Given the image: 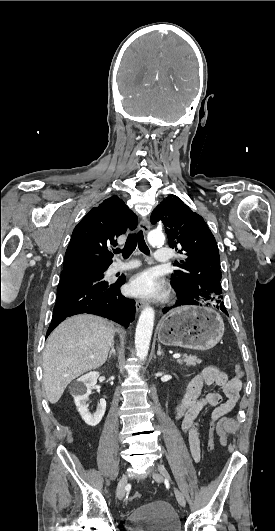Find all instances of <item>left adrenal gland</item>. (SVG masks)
I'll use <instances>...</instances> for the list:
<instances>
[{"label": "left adrenal gland", "instance_id": "left-adrenal-gland-1", "mask_svg": "<svg viewBox=\"0 0 275 531\" xmlns=\"http://www.w3.org/2000/svg\"><path fill=\"white\" fill-rule=\"evenodd\" d=\"M157 355H158V357H161V355H163V351H161V345H159V343H158Z\"/></svg>", "mask_w": 275, "mask_h": 531}]
</instances>
